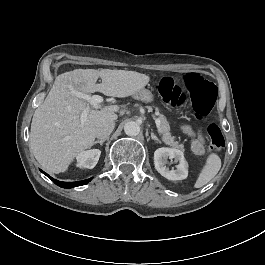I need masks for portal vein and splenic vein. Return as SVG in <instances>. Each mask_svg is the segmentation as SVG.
I'll list each match as a JSON object with an SVG mask.
<instances>
[{"label": "portal vein and splenic vein", "instance_id": "18ae733b", "mask_svg": "<svg viewBox=\"0 0 265 265\" xmlns=\"http://www.w3.org/2000/svg\"><path fill=\"white\" fill-rule=\"evenodd\" d=\"M69 90L72 92L73 95H75L78 98H83L86 99L87 101H89L91 103V105L96 106L97 103H102L104 101V98L100 95H93L92 97H90L89 95H86L82 92H79L78 90H76L73 85L69 84L68 86ZM86 112L82 113L80 116V128L82 129L85 124H86ZM156 128H157V133L159 135L160 138H162V129H161V125H160V121L156 120Z\"/></svg>", "mask_w": 265, "mask_h": 265}]
</instances>
